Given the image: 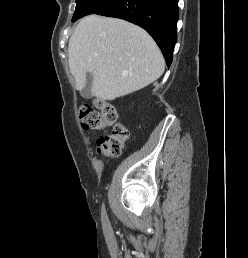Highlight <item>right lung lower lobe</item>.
Here are the masks:
<instances>
[{
    "mask_svg": "<svg viewBox=\"0 0 248 258\" xmlns=\"http://www.w3.org/2000/svg\"><path fill=\"white\" fill-rule=\"evenodd\" d=\"M96 14L121 18L145 29L161 49L167 66L171 65L178 0H114Z\"/></svg>",
    "mask_w": 248,
    "mask_h": 258,
    "instance_id": "right-lung-lower-lobe-1",
    "label": "right lung lower lobe"
}]
</instances>
